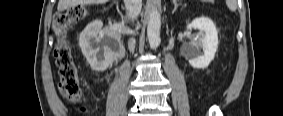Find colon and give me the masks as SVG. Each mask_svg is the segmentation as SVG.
I'll return each mask as SVG.
<instances>
[{
    "instance_id": "5ec220e1",
    "label": "colon",
    "mask_w": 283,
    "mask_h": 116,
    "mask_svg": "<svg viewBox=\"0 0 283 116\" xmlns=\"http://www.w3.org/2000/svg\"><path fill=\"white\" fill-rule=\"evenodd\" d=\"M86 7L77 4L64 12L58 13L54 18L53 32L57 37L54 57L59 69V91L68 101H78L82 94L78 69L75 64L72 49L66 40L68 29L86 16Z\"/></svg>"
}]
</instances>
